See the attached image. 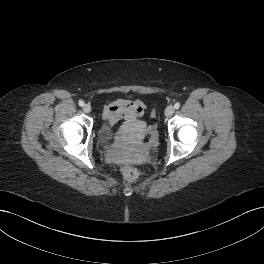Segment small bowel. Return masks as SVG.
I'll list each match as a JSON object with an SVG mask.
<instances>
[{
  "instance_id": "small-bowel-1",
  "label": "small bowel",
  "mask_w": 264,
  "mask_h": 264,
  "mask_svg": "<svg viewBox=\"0 0 264 264\" xmlns=\"http://www.w3.org/2000/svg\"><path fill=\"white\" fill-rule=\"evenodd\" d=\"M146 110V105L141 100L117 99L104 106L103 118L110 124L117 122L134 121L141 117Z\"/></svg>"
}]
</instances>
